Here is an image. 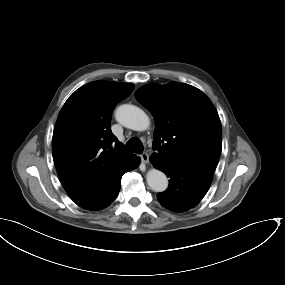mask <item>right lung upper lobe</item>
<instances>
[{
    "mask_svg": "<svg viewBox=\"0 0 285 285\" xmlns=\"http://www.w3.org/2000/svg\"><path fill=\"white\" fill-rule=\"evenodd\" d=\"M134 84L107 81L76 90L61 109L52 138L53 160L69 197L80 207L96 201L136 157L112 134L111 115Z\"/></svg>",
    "mask_w": 285,
    "mask_h": 285,
    "instance_id": "obj_1",
    "label": "right lung upper lobe"
}]
</instances>
